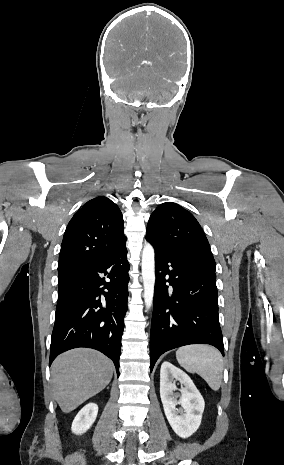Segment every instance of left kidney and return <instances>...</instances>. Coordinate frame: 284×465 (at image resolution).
<instances>
[{"mask_svg":"<svg viewBox=\"0 0 284 465\" xmlns=\"http://www.w3.org/2000/svg\"><path fill=\"white\" fill-rule=\"evenodd\" d=\"M174 379L182 385L179 389L181 395L174 393L177 391ZM160 397L164 413L174 433L182 439H188L193 433H196L202 421L205 407L204 399L190 377L168 361L161 365ZM177 397H180L179 401H177ZM176 405H181V409H176Z\"/></svg>","mask_w":284,"mask_h":465,"instance_id":"1","label":"left kidney"}]
</instances>
